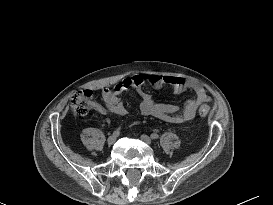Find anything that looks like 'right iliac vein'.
<instances>
[{
	"label": "right iliac vein",
	"mask_w": 273,
	"mask_h": 205,
	"mask_svg": "<svg viewBox=\"0 0 273 205\" xmlns=\"http://www.w3.org/2000/svg\"><path fill=\"white\" fill-rule=\"evenodd\" d=\"M116 139H117V136H116V135H111V136L108 137L107 143H108L109 145H112V144L115 143Z\"/></svg>",
	"instance_id": "obj_1"
}]
</instances>
